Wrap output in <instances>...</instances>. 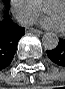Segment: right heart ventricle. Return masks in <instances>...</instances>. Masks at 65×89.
I'll use <instances>...</instances> for the list:
<instances>
[{
    "label": "right heart ventricle",
    "mask_w": 65,
    "mask_h": 89,
    "mask_svg": "<svg viewBox=\"0 0 65 89\" xmlns=\"http://www.w3.org/2000/svg\"><path fill=\"white\" fill-rule=\"evenodd\" d=\"M41 6H44L50 0H36Z\"/></svg>",
    "instance_id": "1"
}]
</instances>
